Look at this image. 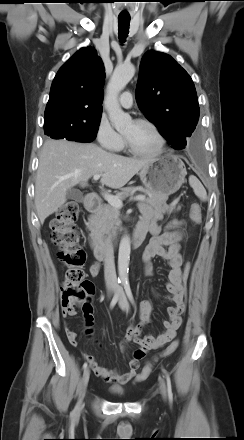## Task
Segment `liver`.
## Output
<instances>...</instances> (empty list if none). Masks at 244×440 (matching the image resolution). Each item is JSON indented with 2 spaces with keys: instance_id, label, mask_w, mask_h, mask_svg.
I'll use <instances>...</instances> for the list:
<instances>
[{
  "instance_id": "1",
  "label": "liver",
  "mask_w": 244,
  "mask_h": 440,
  "mask_svg": "<svg viewBox=\"0 0 244 440\" xmlns=\"http://www.w3.org/2000/svg\"><path fill=\"white\" fill-rule=\"evenodd\" d=\"M153 159L127 158L93 143L47 140L41 149L35 181V206L41 224L66 202V193L87 185L95 174L101 183L119 189Z\"/></svg>"
}]
</instances>
